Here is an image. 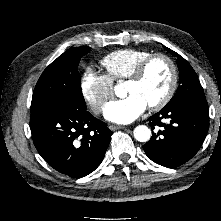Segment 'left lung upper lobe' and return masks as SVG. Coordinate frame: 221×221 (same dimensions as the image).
Listing matches in <instances>:
<instances>
[{"mask_svg":"<svg viewBox=\"0 0 221 221\" xmlns=\"http://www.w3.org/2000/svg\"><path fill=\"white\" fill-rule=\"evenodd\" d=\"M172 55L178 57L176 63L179 68L180 86L174 97L167 103L164 108L172 107L188 100H206L203 88L198 80L197 74L191 65L179 54L171 49L164 47Z\"/></svg>","mask_w":221,"mask_h":221,"instance_id":"obj_1","label":"left lung upper lobe"}]
</instances>
